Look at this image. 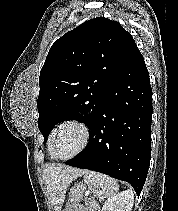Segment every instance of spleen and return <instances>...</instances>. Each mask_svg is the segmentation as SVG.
I'll return each mask as SVG.
<instances>
[{
	"label": "spleen",
	"mask_w": 178,
	"mask_h": 211,
	"mask_svg": "<svg viewBox=\"0 0 178 211\" xmlns=\"http://www.w3.org/2000/svg\"><path fill=\"white\" fill-rule=\"evenodd\" d=\"M84 182L96 196L101 198H111L119 190L118 183L114 178L99 172L86 171Z\"/></svg>",
	"instance_id": "obj_1"
}]
</instances>
